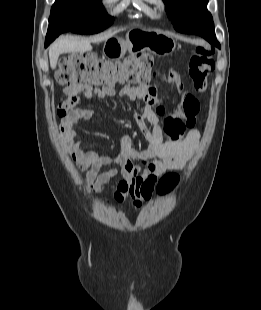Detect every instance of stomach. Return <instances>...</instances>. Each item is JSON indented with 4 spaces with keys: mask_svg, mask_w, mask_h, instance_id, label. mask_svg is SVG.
Wrapping results in <instances>:
<instances>
[{
    "mask_svg": "<svg viewBox=\"0 0 261 310\" xmlns=\"http://www.w3.org/2000/svg\"><path fill=\"white\" fill-rule=\"evenodd\" d=\"M175 47V40L164 33L134 29L127 33L124 40L120 38L106 40L103 51L108 58L119 60L124 57L127 50H147L154 55L166 56L171 54Z\"/></svg>",
    "mask_w": 261,
    "mask_h": 310,
    "instance_id": "1",
    "label": "stomach"
}]
</instances>
